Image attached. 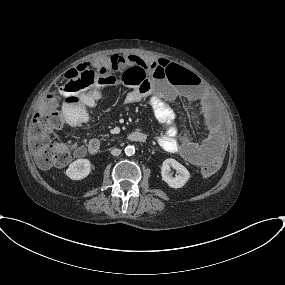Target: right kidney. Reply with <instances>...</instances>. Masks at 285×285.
<instances>
[{"label": "right kidney", "mask_w": 285, "mask_h": 285, "mask_svg": "<svg viewBox=\"0 0 285 285\" xmlns=\"http://www.w3.org/2000/svg\"><path fill=\"white\" fill-rule=\"evenodd\" d=\"M91 172V163L88 159H77L66 170V175L72 180H81Z\"/></svg>", "instance_id": "obj_1"}]
</instances>
